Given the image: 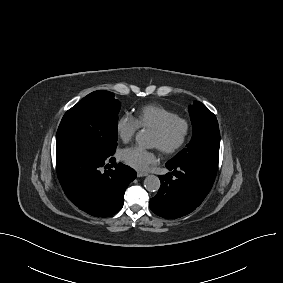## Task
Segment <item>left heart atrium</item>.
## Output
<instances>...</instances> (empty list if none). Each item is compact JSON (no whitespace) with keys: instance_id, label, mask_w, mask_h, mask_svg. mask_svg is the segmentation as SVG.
Instances as JSON below:
<instances>
[{"instance_id":"obj_1","label":"left heart atrium","mask_w":283,"mask_h":283,"mask_svg":"<svg viewBox=\"0 0 283 283\" xmlns=\"http://www.w3.org/2000/svg\"><path fill=\"white\" fill-rule=\"evenodd\" d=\"M121 157L129 166L145 170L157 161L155 151L146 150L140 146H131L122 151Z\"/></svg>"}]
</instances>
